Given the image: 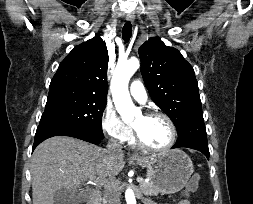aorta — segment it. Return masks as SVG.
Returning <instances> with one entry per match:
<instances>
[{
    "label": "aorta",
    "mask_w": 253,
    "mask_h": 204,
    "mask_svg": "<svg viewBox=\"0 0 253 204\" xmlns=\"http://www.w3.org/2000/svg\"><path fill=\"white\" fill-rule=\"evenodd\" d=\"M139 66V60L136 58L118 63L111 80L113 101L124 122H131L136 116L141 114L140 109L134 106L128 90L129 80ZM125 198L127 204H136V198L132 189L128 188L126 190Z\"/></svg>",
    "instance_id": "1"
}]
</instances>
